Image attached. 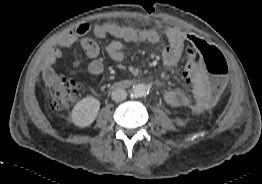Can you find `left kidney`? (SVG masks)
<instances>
[{
	"label": "left kidney",
	"instance_id": "left-kidney-1",
	"mask_svg": "<svg viewBox=\"0 0 262 184\" xmlns=\"http://www.w3.org/2000/svg\"><path fill=\"white\" fill-rule=\"evenodd\" d=\"M175 123L178 125V126H184L185 125V122L183 120H181L180 118H177L175 120Z\"/></svg>",
	"mask_w": 262,
	"mask_h": 184
}]
</instances>
